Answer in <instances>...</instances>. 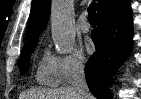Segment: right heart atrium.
Returning <instances> with one entry per match:
<instances>
[{
    "label": "right heart atrium",
    "instance_id": "1",
    "mask_svg": "<svg viewBox=\"0 0 141 99\" xmlns=\"http://www.w3.org/2000/svg\"><path fill=\"white\" fill-rule=\"evenodd\" d=\"M57 62L60 80L63 83H70L83 74L86 66V59L79 50L59 56Z\"/></svg>",
    "mask_w": 141,
    "mask_h": 99
}]
</instances>
